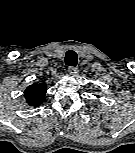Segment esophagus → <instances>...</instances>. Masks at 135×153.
<instances>
[{
	"instance_id": "esophagus-1",
	"label": "esophagus",
	"mask_w": 135,
	"mask_h": 153,
	"mask_svg": "<svg viewBox=\"0 0 135 153\" xmlns=\"http://www.w3.org/2000/svg\"><path fill=\"white\" fill-rule=\"evenodd\" d=\"M68 73L71 75V76H75L77 73H78V69L76 67H69L68 68Z\"/></svg>"
}]
</instances>
